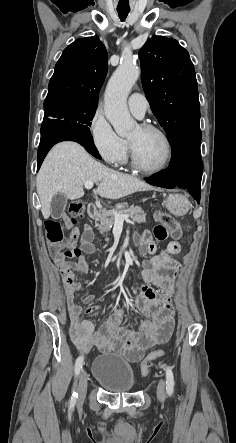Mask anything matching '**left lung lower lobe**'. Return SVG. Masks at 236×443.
Masks as SVG:
<instances>
[{
	"label": "left lung lower lobe",
	"mask_w": 236,
	"mask_h": 443,
	"mask_svg": "<svg viewBox=\"0 0 236 443\" xmlns=\"http://www.w3.org/2000/svg\"><path fill=\"white\" fill-rule=\"evenodd\" d=\"M200 130L180 135L172 144V157L168 169L146 178V182L163 188L181 187L199 203L203 164L200 156Z\"/></svg>",
	"instance_id": "left-lung-lower-lobe-1"
}]
</instances>
